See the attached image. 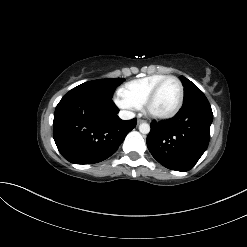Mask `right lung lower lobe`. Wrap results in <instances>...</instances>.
I'll return each mask as SVG.
<instances>
[{
	"instance_id": "obj_1",
	"label": "right lung lower lobe",
	"mask_w": 247,
	"mask_h": 247,
	"mask_svg": "<svg viewBox=\"0 0 247 247\" xmlns=\"http://www.w3.org/2000/svg\"><path fill=\"white\" fill-rule=\"evenodd\" d=\"M105 96L68 92L58 103L53 138L62 156L74 164H93L116 152L136 119L121 120Z\"/></svg>"
}]
</instances>
